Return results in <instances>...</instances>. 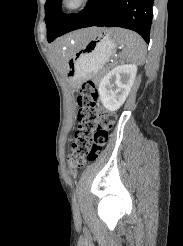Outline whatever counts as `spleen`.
I'll return each mask as SVG.
<instances>
[{
	"instance_id": "spleen-1",
	"label": "spleen",
	"mask_w": 183,
	"mask_h": 246,
	"mask_svg": "<svg viewBox=\"0 0 183 246\" xmlns=\"http://www.w3.org/2000/svg\"><path fill=\"white\" fill-rule=\"evenodd\" d=\"M113 37L116 44L123 46L122 56L126 61L144 63L146 56V45L143 39L135 32L115 28Z\"/></svg>"
}]
</instances>
